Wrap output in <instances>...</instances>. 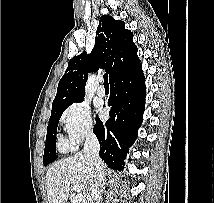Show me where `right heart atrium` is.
Instances as JSON below:
<instances>
[{
	"label": "right heart atrium",
	"instance_id": "1",
	"mask_svg": "<svg viewBox=\"0 0 214 203\" xmlns=\"http://www.w3.org/2000/svg\"><path fill=\"white\" fill-rule=\"evenodd\" d=\"M60 124L73 145L81 143L94 130L90 107L81 101L71 104L63 111Z\"/></svg>",
	"mask_w": 214,
	"mask_h": 203
}]
</instances>
